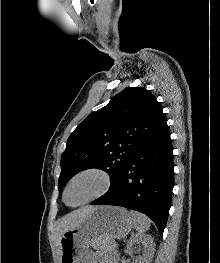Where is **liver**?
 Here are the masks:
<instances>
[{
  "instance_id": "liver-1",
  "label": "liver",
  "mask_w": 220,
  "mask_h": 263,
  "mask_svg": "<svg viewBox=\"0 0 220 263\" xmlns=\"http://www.w3.org/2000/svg\"><path fill=\"white\" fill-rule=\"evenodd\" d=\"M96 208L97 207L94 206L83 207L59 219L55 228V238L57 245L60 247V240L64 232L78 225Z\"/></svg>"
}]
</instances>
